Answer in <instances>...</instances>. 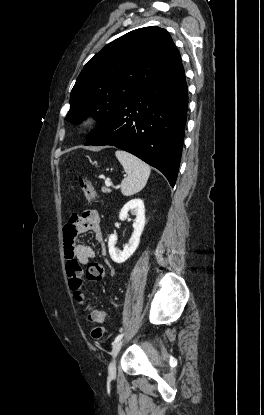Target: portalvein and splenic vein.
<instances>
[{
	"instance_id": "portal-vein-and-splenic-vein-1",
	"label": "portal vein and splenic vein",
	"mask_w": 264,
	"mask_h": 415,
	"mask_svg": "<svg viewBox=\"0 0 264 415\" xmlns=\"http://www.w3.org/2000/svg\"><path fill=\"white\" fill-rule=\"evenodd\" d=\"M105 185H106L107 187H110V186L112 185V182H111L110 180H106V181H105Z\"/></svg>"
}]
</instances>
